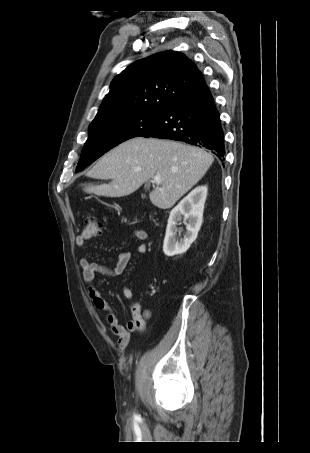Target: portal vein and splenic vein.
<instances>
[{"mask_svg": "<svg viewBox=\"0 0 310 453\" xmlns=\"http://www.w3.org/2000/svg\"><path fill=\"white\" fill-rule=\"evenodd\" d=\"M153 183L155 184H160L161 183V178L159 175L155 176L152 180Z\"/></svg>", "mask_w": 310, "mask_h": 453, "instance_id": "18ae733b", "label": "portal vein and splenic vein"}]
</instances>
